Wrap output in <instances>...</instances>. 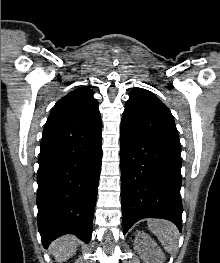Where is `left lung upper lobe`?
I'll list each match as a JSON object with an SVG mask.
<instances>
[{
  "mask_svg": "<svg viewBox=\"0 0 220 263\" xmlns=\"http://www.w3.org/2000/svg\"><path fill=\"white\" fill-rule=\"evenodd\" d=\"M125 104L121 124L154 136L181 150L178 131L168 107L154 94L134 89Z\"/></svg>",
  "mask_w": 220,
  "mask_h": 263,
  "instance_id": "5c2ea615",
  "label": "left lung upper lobe"
}]
</instances>
